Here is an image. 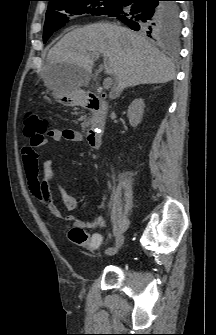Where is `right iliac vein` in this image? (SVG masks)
Listing matches in <instances>:
<instances>
[{
    "label": "right iliac vein",
    "instance_id": "obj_1",
    "mask_svg": "<svg viewBox=\"0 0 216 335\" xmlns=\"http://www.w3.org/2000/svg\"><path fill=\"white\" fill-rule=\"evenodd\" d=\"M124 241H125V237L124 235H120L116 242H115V245H114V251H113V254L112 255H115L117 254V252L119 251V249L122 247V245L124 244Z\"/></svg>",
    "mask_w": 216,
    "mask_h": 335
}]
</instances>
